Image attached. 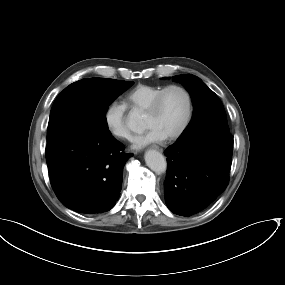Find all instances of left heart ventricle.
<instances>
[{"label": "left heart ventricle", "mask_w": 285, "mask_h": 285, "mask_svg": "<svg viewBox=\"0 0 285 285\" xmlns=\"http://www.w3.org/2000/svg\"><path fill=\"white\" fill-rule=\"evenodd\" d=\"M187 109L184 93L171 89L162 98L155 113H144V124L147 128L157 130L163 137L174 133L181 125Z\"/></svg>", "instance_id": "1"}]
</instances>
